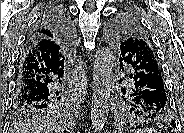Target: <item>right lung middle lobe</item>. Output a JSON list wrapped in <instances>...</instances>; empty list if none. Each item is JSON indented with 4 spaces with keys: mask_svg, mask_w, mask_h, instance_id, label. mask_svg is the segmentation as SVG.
Instances as JSON below:
<instances>
[{
    "mask_svg": "<svg viewBox=\"0 0 184 133\" xmlns=\"http://www.w3.org/2000/svg\"><path fill=\"white\" fill-rule=\"evenodd\" d=\"M65 97L52 98L45 104L41 105H15L14 112L16 116H27L33 113H59L66 107Z\"/></svg>",
    "mask_w": 184,
    "mask_h": 133,
    "instance_id": "dd1d6c3e",
    "label": "right lung middle lobe"
}]
</instances>
